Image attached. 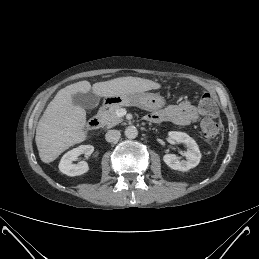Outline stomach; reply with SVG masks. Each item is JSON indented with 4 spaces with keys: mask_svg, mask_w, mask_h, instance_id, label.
I'll use <instances>...</instances> for the list:
<instances>
[{
    "mask_svg": "<svg viewBox=\"0 0 259 259\" xmlns=\"http://www.w3.org/2000/svg\"><path fill=\"white\" fill-rule=\"evenodd\" d=\"M106 106H137L147 111H156L164 107L165 99L157 93H131L119 94L107 97L104 100Z\"/></svg>",
    "mask_w": 259,
    "mask_h": 259,
    "instance_id": "stomach-1",
    "label": "stomach"
}]
</instances>
